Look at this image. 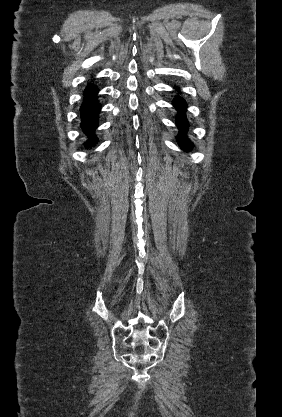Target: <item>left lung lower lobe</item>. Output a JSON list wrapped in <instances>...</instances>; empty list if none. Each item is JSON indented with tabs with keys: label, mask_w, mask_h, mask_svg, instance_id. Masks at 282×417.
Listing matches in <instances>:
<instances>
[{
	"label": "left lung lower lobe",
	"mask_w": 282,
	"mask_h": 417,
	"mask_svg": "<svg viewBox=\"0 0 282 417\" xmlns=\"http://www.w3.org/2000/svg\"><path fill=\"white\" fill-rule=\"evenodd\" d=\"M172 103L174 107H176V109L178 110V114L176 115V124L179 130L182 131V133H180L177 136V141L179 142L180 147L184 151H190L191 146L193 144L190 142V140L186 136L188 122L186 120L185 110H186L187 104L185 103L184 99H182L181 97H176Z\"/></svg>",
	"instance_id": "obj_1"
}]
</instances>
